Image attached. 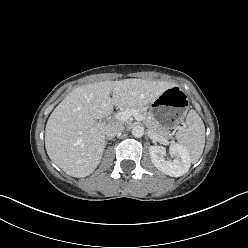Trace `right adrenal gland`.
Listing matches in <instances>:
<instances>
[{
    "label": "right adrenal gland",
    "instance_id": "1",
    "mask_svg": "<svg viewBox=\"0 0 248 248\" xmlns=\"http://www.w3.org/2000/svg\"><path fill=\"white\" fill-rule=\"evenodd\" d=\"M109 140H111V138H107V139H106L105 145H107V142H108Z\"/></svg>",
    "mask_w": 248,
    "mask_h": 248
}]
</instances>
